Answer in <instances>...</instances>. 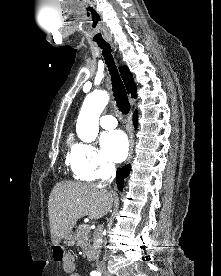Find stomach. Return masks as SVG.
Returning <instances> with one entry per match:
<instances>
[{
    "label": "stomach",
    "instance_id": "1",
    "mask_svg": "<svg viewBox=\"0 0 221 276\" xmlns=\"http://www.w3.org/2000/svg\"><path fill=\"white\" fill-rule=\"evenodd\" d=\"M75 243V236L72 232L64 237V244L67 246H72Z\"/></svg>",
    "mask_w": 221,
    "mask_h": 276
}]
</instances>
